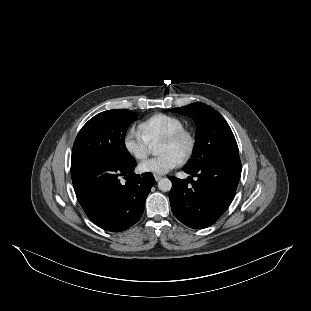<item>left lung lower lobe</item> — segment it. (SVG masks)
I'll list each match as a JSON object with an SVG mask.
<instances>
[{"label":"left lung lower lobe","mask_w":311,"mask_h":311,"mask_svg":"<svg viewBox=\"0 0 311 311\" xmlns=\"http://www.w3.org/2000/svg\"><path fill=\"white\" fill-rule=\"evenodd\" d=\"M197 177H169L171 209L175 217L190 228L202 229L214 224L234 199L241 176L240 158H226L196 169H183Z\"/></svg>","instance_id":"obj_1"}]
</instances>
